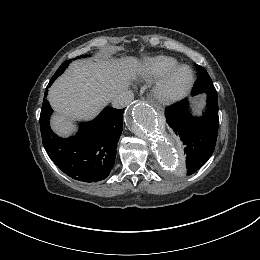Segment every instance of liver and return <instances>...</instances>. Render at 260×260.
<instances>
[{
	"instance_id": "6515ba94",
	"label": "liver",
	"mask_w": 260,
	"mask_h": 260,
	"mask_svg": "<svg viewBox=\"0 0 260 260\" xmlns=\"http://www.w3.org/2000/svg\"><path fill=\"white\" fill-rule=\"evenodd\" d=\"M141 71L136 57L73 62L48 92L47 98L57 112L51 119L52 129L62 137L71 135L76 130L72 120L93 119Z\"/></svg>"
}]
</instances>
